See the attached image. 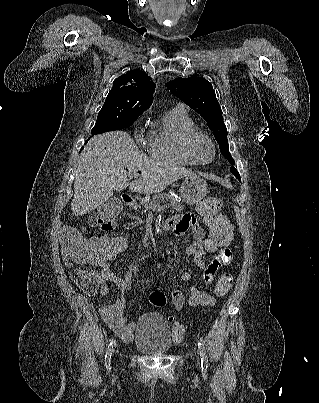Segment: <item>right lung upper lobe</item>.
Segmentation results:
<instances>
[{
    "mask_svg": "<svg viewBox=\"0 0 319 403\" xmlns=\"http://www.w3.org/2000/svg\"><path fill=\"white\" fill-rule=\"evenodd\" d=\"M142 71H129L113 81L104 105H123L144 112L153 102L155 83Z\"/></svg>",
    "mask_w": 319,
    "mask_h": 403,
    "instance_id": "right-lung-upper-lobe-1",
    "label": "right lung upper lobe"
}]
</instances>
